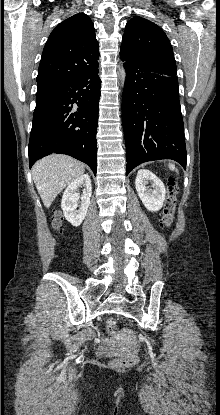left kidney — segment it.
<instances>
[{"label":"left kidney","instance_id":"left-kidney-1","mask_svg":"<svg viewBox=\"0 0 220 415\" xmlns=\"http://www.w3.org/2000/svg\"><path fill=\"white\" fill-rule=\"evenodd\" d=\"M149 183L152 189L146 186ZM135 187L147 210L156 212L162 208L166 190L163 182L155 174L149 170L140 169L137 172Z\"/></svg>","mask_w":220,"mask_h":415}]
</instances>
